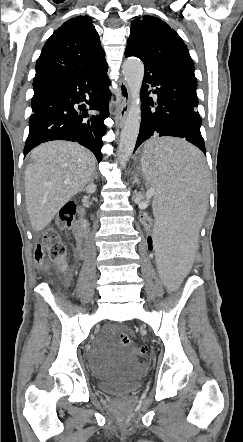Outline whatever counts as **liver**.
Instances as JSON below:
<instances>
[{"label": "liver", "instance_id": "1", "mask_svg": "<svg viewBox=\"0 0 243 442\" xmlns=\"http://www.w3.org/2000/svg\"><path fill=\"white\" fill-rule=\"evenodd\" d=\"M30 157L25 171V202L32 228L41 231L90 181L96 159L85 147L68 141L43 143Z\"/></svg>", "mask_w": 243, "mask_h": 442}]
</instances>
